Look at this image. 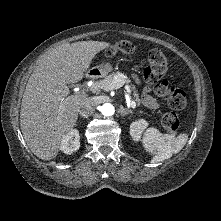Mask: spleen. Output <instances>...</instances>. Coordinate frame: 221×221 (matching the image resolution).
I'll list each match as a JSON object with an SVG mask.
<instances>
[{
	"instance_id": "spleen-1",
	"label": "spleen",
	"mask_w": 221,
	"mask_h": 221,
	"mask_svg": "<svg viewBox=\"0 0 221 221\" xmlns=\"http://www.w3.org/2000/svg\"><path fill=\"white\" fill-rule=\"evenodd\" d=\"M187 139L185 133L175 137L173 134H162L156 128H149L144 133L142 144L147 152L154 154L151 163H158L178 153Z\"/></svg>"
}]
</instances>
